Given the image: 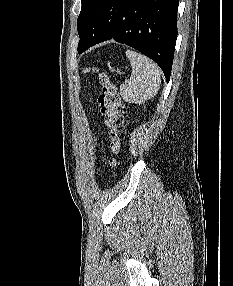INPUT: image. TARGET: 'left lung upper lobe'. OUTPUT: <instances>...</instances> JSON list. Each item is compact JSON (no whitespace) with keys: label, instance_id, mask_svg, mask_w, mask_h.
<instances>
[{"label":"left lung upper lobe","instance_id":"1","mask_svg":"<svg viewBox=\"0 0 233 286\" xmlns=\"http://www.w3.org/2000/svg\"><path fill=\"white\" fill-rule=\"evenodd\" d=\"M81 1H82V8L77 20V29L79 35L82 32L89 17V14L92 11L93 6L97 0H81Z\"/></svg>","mask_w":233,"mask_h":286}]
</instances>
